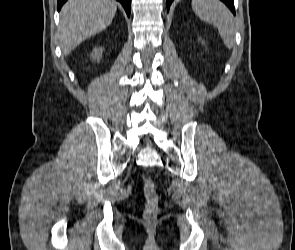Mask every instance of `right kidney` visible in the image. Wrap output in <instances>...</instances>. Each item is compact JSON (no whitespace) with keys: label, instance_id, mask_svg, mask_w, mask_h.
Here are the masks:
<instances>
[{"label":"right kidney","instance_id":"obj_1","mask_svg":"<svg viewBox=\"0 0 295 250\" xmlns=\"http://www.w3.org/2000/svg\"><path fill=\"white\" fill-rule=\"evenodd\" d=\"M102 54H103L102 48H95L91 53V57L93 60L100 61V59L102 58Z\"/></svg>","mask_w":295,"mask_h":250}]
</instances>
